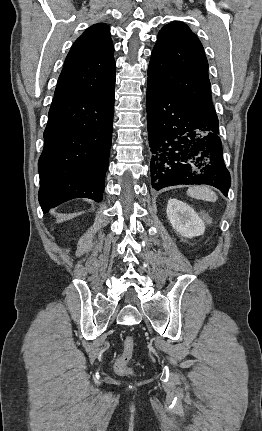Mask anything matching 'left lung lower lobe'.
Listing matches in <instances>:
<instances>
[{
  "instance_id": "obj_1",
  "label": "left lung lower lobe",
  "mask_w": 262,
  "mask_h": 431,
  "mask_svg": "<svg viewBox=\"0 0 262 431\" xmlns=\"http://www.w3.org/2000/svg\"><path fill=\"white\" fill-rule=\"evenodd\" d=\"M147 120L154 189L207 184L227 196L231 177L218 124L203 120L192 107L149 82Z\"/></svg>"
}]
</instances>
